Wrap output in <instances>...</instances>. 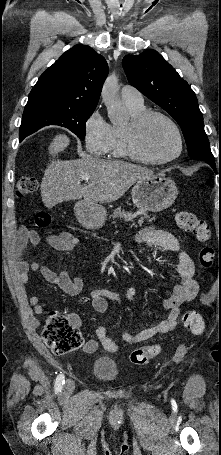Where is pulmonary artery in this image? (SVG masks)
<instances>
[{"instance_id": "1", "label": "pulmonary artery", "mask_w": 221, "mask_h": 455, "mask_svg": "<svg viewBox=\"0 0 221 455\" xmlns=\"http://www.w3.org/2000/svg\"><path fill=\"white\" fill-rule=\"evenodd\" d=\"M121 98L126 104L133 106H142L144 103L141 92L131 85H125L122 87Z\"/></svg>"}]
</instances>
